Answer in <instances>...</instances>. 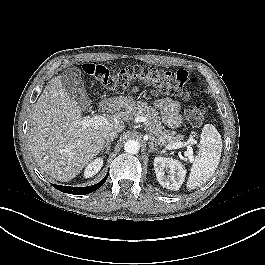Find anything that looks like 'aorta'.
<instances>
[{
	"instance_id": "762f6f07",
	"label": "aorta",
	"mask_w": 265,
	"mask_h": 265,
	"mask_svg": "<svg viewBox=\"0 0 265 265\" xmlns=\"http://www.w3.org/2000/svg\"><path fill=\"white\" fill-rule=\"evenodd\" d=\"M139 149H140V145H139L138 141H136V140H128L124 144V150H125V152H127L129 154H136V153H138Z\"/></svg>"
}]
</instances>
